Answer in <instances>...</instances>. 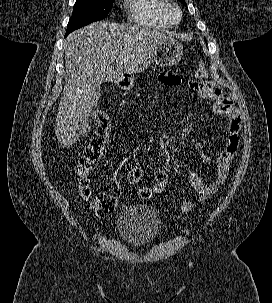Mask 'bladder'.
I'll return each mask as SVG.
<instances>
[{
	"label": "bladder",
	"instance_id": "1",
	"mask_svg": "<svg viewBox=\"0 0 272 303\" xmlns=\"http://www.w3.org/2000/svg\"><path fill=\"white\" fill-rule=\"evenodd\" d=\"M162 221L158 212L145 204L124 207L117 218V229L128 244L139 247L153 241L159 234Z\"/></svg>",
	"mask_w": 272,
	"mask_h": 303
}]
</instances>
